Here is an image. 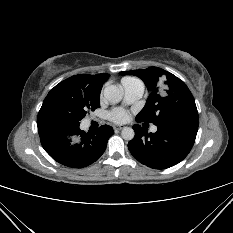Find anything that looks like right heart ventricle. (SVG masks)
Returning a JSON list of instances; mask_svg holds the SVG:
<instances>
[{"instance_id":"1","label":"right heart ventricle","mask_w":233,"mask_h":233,"mask_svg":"<svg viewBox=\"0 0 233 233\" xmlns=\"http://www.w3.org/2000/svg\"><path fill=\"white\" fill-rule=\"evenodd\" d=\"M134 81H138V80L135 79V78H132V77H125V78L122 79L121 83L123 85V84L131 83V82H134Z\"/></svg>"}]
</instances>
